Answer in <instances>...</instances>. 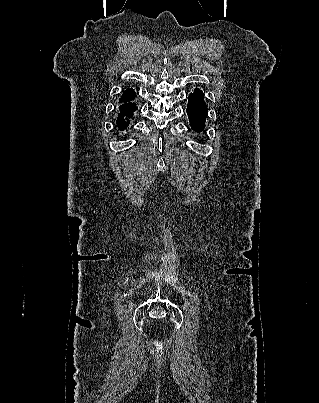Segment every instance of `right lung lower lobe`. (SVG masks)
<instances>
[{
    "instance_id": "obj_1",
    "label": "right lung lower lobe",
    "mask_w": 319,
    "mask_h": 403,
    "mask_svg": "<svg viewBox=\"0 0 319 403\" xmlns=\"http://www.w3.org/2000/svg\"><path fill=\"white\" fill-rule=\"evenodd\" d=\"M136 97V94H133L132 97L128 98L125 101H122V104L119 106V113L116 120L117 128L121 131L126 129L131 120H134V113L137 110L136 103L131 102ZM121 103V102H120Z\"/></svg>"
}]
</instances>
